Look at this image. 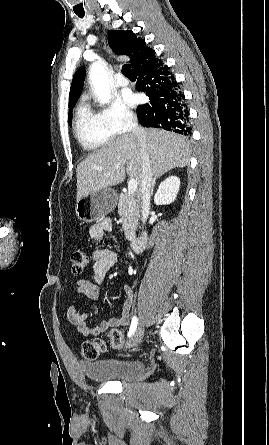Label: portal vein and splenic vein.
Returning <instances> with one entry per match:
<instances>
[{
    "mask_svg": "<svg viewBox=\"0 0 269 445\" xmlns=\"http://www.w3.org/2000/svg\"><path fill=\"white\" fill-rule=\"evenodd\" d=\"M137 185H138V182L136 179L132 178L129 180V182H128V194L129 195H134V193L137 190Z\"/></svg>",
    "mask_w": 269,
    "mask_h": 445,
    "instance_id": "1",
    "label": "portal vein and splenic vein"
}]
</instances>
